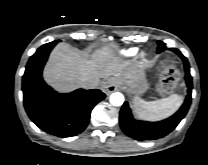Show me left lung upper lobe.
Returning <instances> with one entry per match:
<instances>
[{"label":"left lung upper lobe","instance_id":"1","mask_svg":"<svg viewBox=\"0 0 208 165\" xmlns=\"http://www.w3.org/2000/svg\"><path fill=\"white\" fill-rule=\"evenodd\" d=\"M165 44L162 41H158V49L157 52L160 53L165 49Z\"/></svg>","mask_w":208,"mask_h":165}]
</instances>
